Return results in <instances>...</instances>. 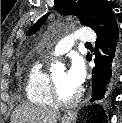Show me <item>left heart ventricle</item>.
<instances>
[{"label": "left heart ventricle", "instance_id": "1", "mask_svg": "<svg viewBox=\"0 0 122 123\" xmlns=\"http://www.w3.org/2000/svg\"><path fill=\"white\" fill-rule=\"evenodd\" d=\"M52 76H53V78H54V80L57 84L59 93L64 98L72 97L79 90L77 88H74V87L70 86L67 83V81H66V72L64 70L58 71V72L54 73Z\"/></svg>", "mask_w": 122, "mask_h": 123}]
</instances>
